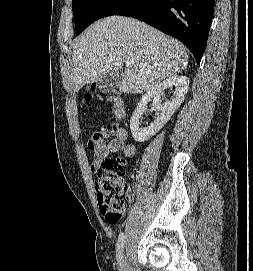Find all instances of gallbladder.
<instances>
[{"instance_id":"obj_1","label":"gallbladder","mask_w":253,"mask_h":271,"mask_svg":"<svg viewBox=\"0 0 253 271\" xmlns=\"http://www.w3.org/2000/svg\"><path fill=\"white\" fill-rule=\"evenodd\" d=\"M122 80V72L110 73L106 75L99 84V89L103 94L115 93Z\"/></svg>"}]
</instances>
